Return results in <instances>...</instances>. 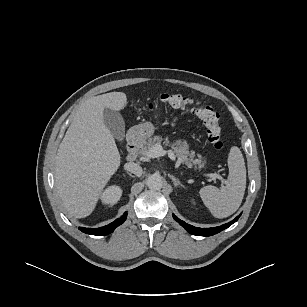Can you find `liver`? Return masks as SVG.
<instances>
[{
  "label": "liver",
  "mask_w": 307,
  "mask_h": 307,
  "mask_svg": "<svg viewBox=\"0 0 307 307\" xmlns=\"http://www.w3.org/2000/svg\"><path fill=\"white\" fill-rule=\"evenodd\" d=\"M123 92H110L86 100L77 111L59 145L55 186L64 208L75 218L89 216L102 190L120 166V154L103 111L122 110Z\"/></svg>",
  "instance_id": "6515ba94"
}]
</instances>
